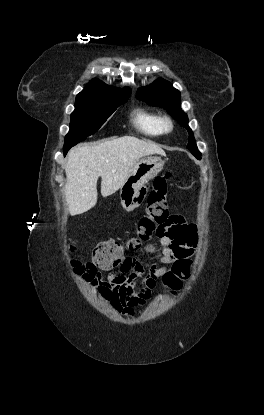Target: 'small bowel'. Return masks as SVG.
<instances>
[{
	"label": "small bowel",
	"mask_w": 264,
	"mask_h": 415,
	"mask_svg": "<svg viewBox=\"0 0 264 415\" xmlns=\"http://www.w3.org/2000/svg\"><path fill=\"white\" fill-rule=\"evenodd\" d=\"M172 219L171 234L161 237L160 246L149 245L146 248L155 259L150 263L147 276L138 279L143 266L135 258L128 257L119 271L110 273L106 279L98 273L90 274L88 271L82 272V279L120 313L132 316L149 300L156 282L170 271V266L177 261H186L193 253L198 239L196 227L180 215H174ZM127 272L130 275H126ZM182 278L185 279V276ZM121 288L127 289L128 293L123 301L116 302L115 295Z\"/></svg>",
	"instance_id": "obj_1"
}]
</instances>
